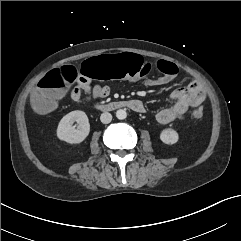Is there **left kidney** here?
<instances>
[{"mask_svg":"<svg viewBox=\"0 0 241 241\" xmlns=\"http://www.w3.org/2000/svg\"><path fill=\"white\" fill-rule=\"evenodd\" d=\"M178 139L179 135L174 129L167 128L160 133V140L165 144H175Z\"/></svg>","mask_w":241,"mask_h":241,"instance_id":"obj_1","label":"left kidney"}]
</instances>
